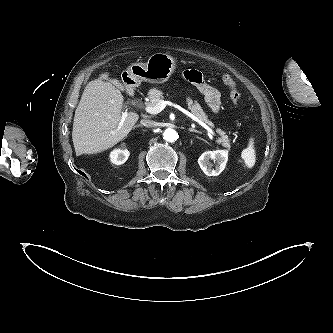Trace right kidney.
Instances as JSON below:
<instances>
[{
	"label": "right kidney",
	"instance_id": "right-kidney-1",
	"mask_svg": "<svg viewBox=\"0 0 333 333\" xmlns=\"http://www.w3.org/2000/svg\"><path fill=\"white\" fill-rule=\"evenodd\" d=\"M110 160L115 165H121L125 163L129 157L128 150L114 149L110 152Z\"/></svg>",
	"mask_w": 333,
	"mask_h": 333
}]
</instances>
